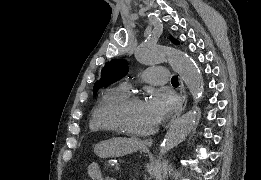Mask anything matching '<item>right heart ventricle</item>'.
I'll return each instance as SVG.
<instances>
[{"instance_id":"right-heart-ventricle-1","label":"right heart ventricle","mask_w":261,"mask_h":180,"mask_svg":"<svg viewBox=\"0 0 261 180\" xmlns=\"http://www.w3.org/2000/svg\"><path fill=\"white\" fill-rule=\"evenodd\" d=\"M124 95L125 91L116 87L105 90L99 97L89 118L88 132L108 133V138H92L95 142H102L116 137L110 118V110Z\"/></svg>"}]
</instances>
